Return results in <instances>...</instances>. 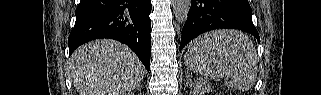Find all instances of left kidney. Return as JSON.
<instances>
[{
    "label": "left kidney",
    "instance_id": "left-kidney-1",
    "mask_svg": "<svg viewBox=\"0 0 321 95\" xmlns=\"http://www.w3.org/2000/svg\"><path fill=\"white\" fill-rule=\"evenodd\" d=\"M209 89V88H208ZM207 88H196L195 91H194V94L195 95H204L205 92H206Z\"/></svg>",
    "mask_w": 321,
    "mask_h": 95
}]
</instances>
